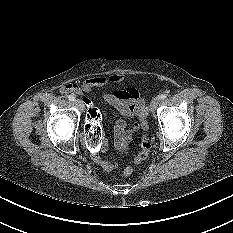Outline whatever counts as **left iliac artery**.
Listing matches in <instances>:
<instances>
[{
  "instance_id": "44dca946",
  "label": "left iliac artery",
  "mask_w": 233,
  "mask_h": 233,
  "mask_svg": "<svg viewBox=\"0 0 233 233\" xmlns=\"http://www.w3.org/2000/svg\"><path fill=\"white\" fill-rule=\"evenodd\" d=\"M159 97L161 100H164L167 96H166V94H161Z\"/></svg>"
}]
</instances>
